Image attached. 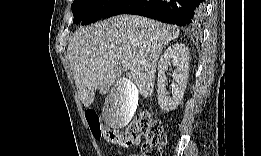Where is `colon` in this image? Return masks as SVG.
<instances>
[{
  "label": "colon",
  "mask_w": 261,
  "mask_h": 156,
  "mask_svg": "<svg viewBox=\"0 0 261 156\" xmlns=\"http://www.w3.org/2000/svg\"><path fill=\"white\" fill-rule=\"evenodd\" d=\"M86 117L97 138H103L128 149L139 144L141 137L144 136L142 155L159 156L162 153V147L166 141L163 125L159 120H154L149 111L141 112L137 119L123 130H110L104 127L100 120L96 119L94 111H88Z\"/></svg>",
  "instance_id": "5ec220e1"
}]
</instances>
